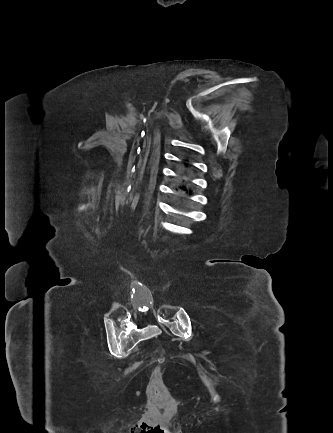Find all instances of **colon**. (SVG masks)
Instances as JSON below:
<instances>
[{"label":"colon","mask_w":333,"mask_h":433,"mask_svg":"<svg viewBox=\"0 0 333 433\" xmlns=\"http://www.w3.org/2000/svg\"><path fill=\"white\" fill-rule=\"evenodd\" d=\"M151 394L156 403L164 405L170 399V391L160 375L153 377Z\"/></svg>","instance_id":"5ec220e1"}]
</instances>
